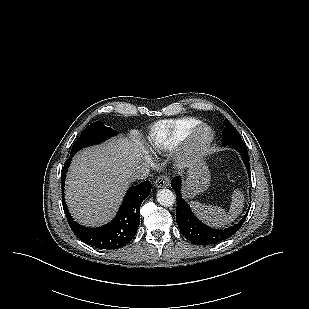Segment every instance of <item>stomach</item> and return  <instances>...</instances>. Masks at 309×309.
<instances>
[{"mask_svg":"<svg viewBox=\"0 0 309 309\" xmlns=\"http://www.w3.org/2000/svg\"><path fill=\"white\" fill-rule=\"evenodd\" d=\"M210 179V171L203 154H196L187 166V174L183 186L184 196L193 198L207 190L210 185Z\"/></svg>","mask_w":309,"mask_h":309,"instance_id":"obj_1","label":"stomach"}]
</instances>
